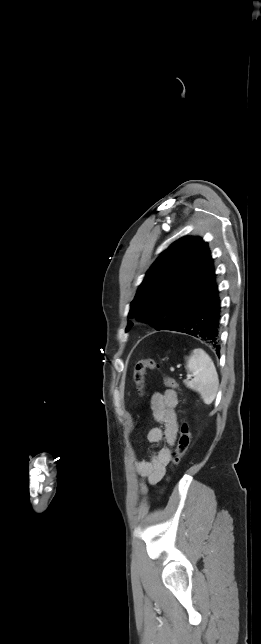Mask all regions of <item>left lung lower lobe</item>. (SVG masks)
I'll return each instance as SVG.
<instances>
[{"label":"left lung lower lobe","mask_w":261,"mask_h":644,"mask_svg":"<svg viewBox=\"0 0 261 644\" xmlns=\"http://www.w3.org/2000/svg\"><path fill=\"white\" fill-rule=\"evenodd\" d=\"M217 282L176 324L166 330L187 333L220 351L221 300Z\"/></svg>","instance_id":"0a47b994"}]
</instances>
